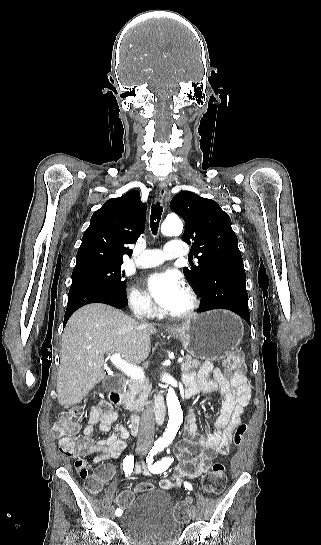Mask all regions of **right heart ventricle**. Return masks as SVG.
<instances>
[{
  "mask_svg": "<svg viewBox=\"0 0 321 545\" xmlns=\"http://www.w3.org/2000/svg\"><path fill=\"white\" fill-rule=\"evenodd\" d=\"M159 315H162V312H159Z\"/></svg>",
  "mask_w": 321,
  "mask_h": 545,
  "instance_id": "right-heart-ventricle-1",
  "label": "right heart ventricle"
}]
</instances>
